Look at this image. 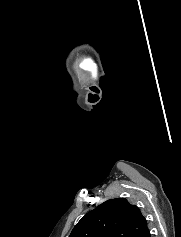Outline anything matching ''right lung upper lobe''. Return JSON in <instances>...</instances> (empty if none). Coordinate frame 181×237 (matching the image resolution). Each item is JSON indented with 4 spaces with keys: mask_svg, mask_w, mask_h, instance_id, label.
<instances>
[{
    "mask_svg": "<svg viewBox=\"0 0 181 237\" xmlns=\"http://www.w3.org/2000/svg\"><path fill=\"white\" fill-rule=\"evenodd\" d=\"M69 237H151V234L138 207L125 198H115L82 217Z\"/></svg>",
    "mask_w": 181,
    "mask_h": 237,
    "instance_id": "1",
    "label": "right lung upper lobe"
}]
</instances>
